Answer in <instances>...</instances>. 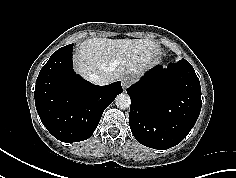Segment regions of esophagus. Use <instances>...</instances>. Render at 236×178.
<instances>
[{
	"instance_id": "esophagus-1",
	"label": "esophagus",
	"mask_w": 236,
	"mask_h": 178,
	"mask_svg": "<svg viewBox=\"0 0 236 178\" xmlns=\"http://www.w3.org/2000/svg\"><path fill=\"white\" fill-rule=\"evenodd\" d=\"M132 82H133V79L131 77L125 76L121 78V85L124 90H126L129 87V85L132 84Z\"/></svg>"
}]
</instances>
